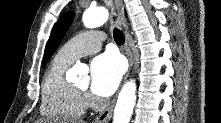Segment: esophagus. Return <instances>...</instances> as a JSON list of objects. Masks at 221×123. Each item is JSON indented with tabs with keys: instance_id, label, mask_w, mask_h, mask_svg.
Wrapping results in <instances>:
<instances>
[{
	"instance_id": "esophagus-1",
	"label": "esophagus",
	"mask_w": 221,
	"mask_h": 123,
	"mask_svg": "<svg viewBox=\"0 0 221 123\" xmlns=\"http://www.w3.org/2000/svg\"><path fill=\"white\" fill-rule=\"evenodd\" d=\"M115 8L118 12V24L125 30V34H126V40H125V45H124V51H125V55L128 59V70L125 74L124 80L127 79L129 72L131 70V67L133 65V55L132 52L130 50V37L128 34V27L126 24V19H125V8H124V3L122 0H115ZM116 99L114 98L112 100V102L108 105L107 108H105L100 114L99 116H97L95 118V120L93 121V123H107L111 116H112V112L114 109V105H115Z\"/></svg>"
}]
</instances>
